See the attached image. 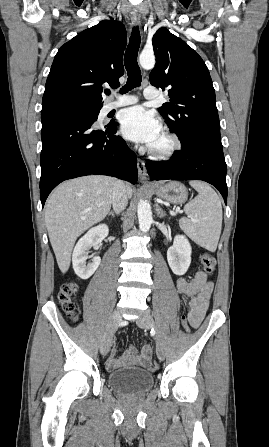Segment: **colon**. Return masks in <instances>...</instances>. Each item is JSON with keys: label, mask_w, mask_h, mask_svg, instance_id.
<instances>
[{"label": "colon", "mask_w": 269, "mask_h": 447, "mask_svg": "<svg viewBox=\"0 0 269 447\" xmlns=\"http://www.w3.org/2000/svg\"><path fill=\"white\" fill-rule=\"evenodd\" d=\"M200 262L203 270L208 273L212 274L215 271L216 267V261L212 254L208 252H204L200 255ZM78 291V286L74 283L66 284L61 287L59 293H58V299L60 301L62 309L72 317L74 321H77L78 314H77V307L74 302V296ZM181 325L184 326L185 332L188 334L190 332L189 328V320L186 318V315H181L180 320ZM142 354L145 356H150L152 354V350L150 347H144L142 349ZM144 368L147 371L154 372L157 370V364L155 362H147L144 364Z\"/></svg>", "instance_id": "5ec220e1"}]
</instances>
